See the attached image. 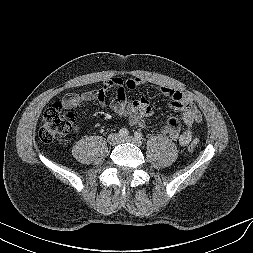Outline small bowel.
<instances>
[{"label": "small bowel", "instance_id": "small-bowel-1", "mask_svg": "<svg viewBox=\"0 0 253 253\" xmlns=\"http://www.w3.org/2000/svg\"><path fill=\"white\" fill-rule=\"evenodd\" d=\"M145 82L141 77H110L103 82L100 88L81 93H68L64 96L63 103L67 107H76L84 103L103 107L106 104V91L115 88L116 94L110 103L112 111L127 118L130 124L144 125L145 119L153 115V110L143 96H139L135 101L130 102L127 90L143 86ZM160 92L169 98L171 108L183 112L181 121L177 117H170L166 125L160 129L161 134L178 141L182 146L188 145L194 136L193 125L202 121L201 113L194 102L178 89L162 86ZM181 123L183 124L182 129ZM78 131L79 127H74V132Z\"/></svg>", "mask_w": 253, "mask_h": 253}]
</instances>
